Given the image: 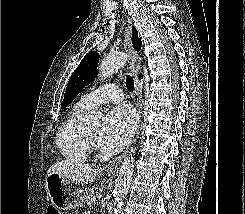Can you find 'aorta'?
<instances>
[{
    "instance_id": "762f6f07",
    "label": "aorta",
    "mask_w": 245,
    "mask_h": 214,
    "mask_svg": "<svg viewBox=\"0 0 245 214\" xmlns=\"http://www.w3.org/2000/svg\"><path fill=\"white\" fill-rule=\"evenodd\" d=\"M127 56L124 53H116L107 56L100 64L98 69V78L104 80L115 71L120 69L126 63ZM102 119V114L98 110L90 111L86 117L85 122L92 126H99ZM134 170V158L127 157L121 165L119 170L116 184L114 187V198H115V214L120 213L122 203L125 195L127 194L133 176Z\"/></svg>"
}]
</instances>
